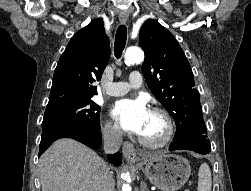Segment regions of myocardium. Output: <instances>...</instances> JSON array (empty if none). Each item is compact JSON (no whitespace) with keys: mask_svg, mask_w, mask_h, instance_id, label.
<instances>
[{"mask_svg":"<svg viewBox=\"0 0 251 191\" xmlns=\"http://www.w3.org/2000/svg\"><path fill=\"white\" fill-rule=\"evenodd\" d=\"M150 112L151 114L160 116L164 120L165 126H166V133L164 137L158 142L150 141L146 139L145 137H143L141 134L139 135L138 140L140 144H142L144 147L151 148V149L162 148L168 145L173 139V136H174L173 119L167 111L161 108H153Z\"/></svg>","mask_w":251,"mask_h":191,"instance_id":"f54148a6","label":"myocardium"}]
</instances>
